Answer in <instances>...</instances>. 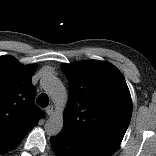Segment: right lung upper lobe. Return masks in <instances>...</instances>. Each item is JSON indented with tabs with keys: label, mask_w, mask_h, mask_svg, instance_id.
<instances>
[{
	"label": "right lung upper lobe",
	"mask_w": 156,
	"mask_h": 156,
	"mask_svg": "<svg viewBox=\"0 0 156 156\" xmlns=\"http://www.w3.org/2000/svg\"><path fill=\"white\" fill-rule=\"evenodd\" d=\"M36 68V64H19L12 56H0V154L17 146L43 116L33 104L31 78Z\"/></svg>",
	"instance_id": "1"
}]
</instances>
